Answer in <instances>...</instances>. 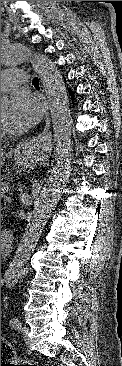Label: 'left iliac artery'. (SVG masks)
Returning <instances> with one entry per match:
<instances>
[{"mask_svg": "<svg viewBox=\"0 0 122 366\" xmlns=\"http://www.w3.org/2000/svg\"><path fill=\"white\" fill-rule=\"evenodd\" d=\"M10 325L15 328V329H20L21 327V322L19 321L18 318H12L10 320Z\"/></svg>", "mask_w": 122, "mask_h": 366, "instance_id": "obj_1", "label": "left iliac artery"}]
</instances>
